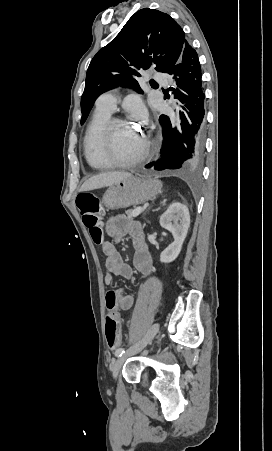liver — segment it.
Here are the masks:
<instances>
[{"instance_id": "6515ba94", "label": "liver", "mask_w": 272, "mask_h": 451, "mask_svg": "<svg viewBox=\"0 0 272 451\" xmlns=\"http://www.w3.org/2000/svg\"><path fill=\"white\" fill-rule=\"evenodd\" d=\"M132 174L128 172H103L98 176H92L89 180H86L80 188V192H87V190H97V188H104V186H112L121 182L124 178H129Z\"/></svg>"}]
</instances>
